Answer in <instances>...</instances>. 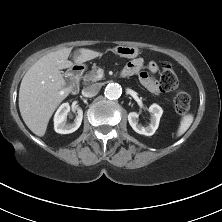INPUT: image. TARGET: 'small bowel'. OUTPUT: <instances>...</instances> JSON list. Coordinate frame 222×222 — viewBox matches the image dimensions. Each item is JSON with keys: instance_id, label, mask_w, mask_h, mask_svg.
Segmentation results:
<instances>
[{"instance_id": "1", "label": "small bowel", "mask_w": 222, "mask_h": 222, "mask_svg": "<svg viewBox=\"0 0 222 222\" xmlns=\"http://www.w3.org/2000/svg\"><path fill=\"white\" fill-rule=\"evenodd\" d=\"M144 60L142 58H136L130 61L123 69L124 76L137 75L140 83L147 88L153 94H160L161 88L159 82L152 77L158 71V65L156 62L151 61L146 65L144 70Z\"/></svg>"}]
</instances>
